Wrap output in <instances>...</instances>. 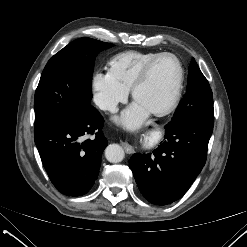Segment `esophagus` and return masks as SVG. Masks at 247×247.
Masks as SVG:
<instances>
[{
  "label": "esophagus",
  "instance_id": "obj_1",
  "mask_svg": "<svg viewBox=\"0 0 247 247\" xmlns=\"http://www.w3.org/2000/svg\"><path fill=\"white\" fill-rule=\"evenodd\" d=\"M123 146H124L126 153L128 154H131L134 151V149L128 144H124Z\"/></svg>",
  "mask_w": 247,
  "mask_h": 247
}]
</instances>
